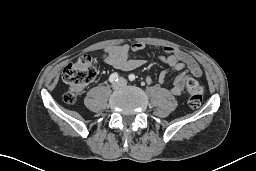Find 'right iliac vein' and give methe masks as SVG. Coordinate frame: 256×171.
<instances>
[{"label":"right iliac vein","instance_id":"63e3f726","mask_svg":"<svg viewBox=\"0 0 256 171\" xmlns=\"http://www.w3.org/2000/svg\"><path fill=\"white\" fill-rule=\"evenodd\" d=\"M121 86L120 82H115L112 84V88L117 90Z\"/></svg>","mask_w":256,"mask_h":171}]
</instances>
